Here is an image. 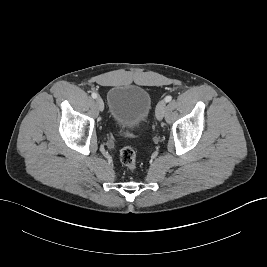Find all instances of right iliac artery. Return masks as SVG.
Wrapping results in <instances>:
<instances>
[{"label":"right iliac artery","instance_id":"82829eb1","mask_svg":"<svg viewBox=\"0 0 267 267\" xmlns=\"http://www.w3.org/2000/svg\"><path fill=\"white\" fill-rule=\"evenodd\" d=\"M91 96H92V98L96 99V98L98 97V94L95 93V92H93V93L91 94Z\"/></svg>","mask_w":267,"mask_h":267}]
</instances>
